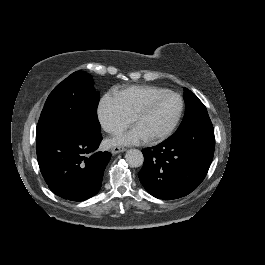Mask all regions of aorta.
<instances>
[{"instance_id":"762f6f07","label":"aorta","mask_w":265,"mask_h":265,"mask_svg":"<svg viewBox=\"0 0 265 265\" xmlns=\"http://www.w3.org/2000/svg\"><path fill=\"white\" fill-rule=\"evenodd\" d=\"M125 159H126V162L131 167H135V168L142 166L143 162H144L143 154L138 149H129V150H127V152L125 154Z\"/></svg>"}]
</instances>
